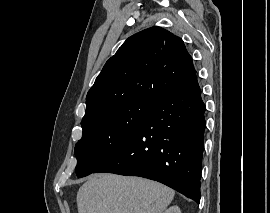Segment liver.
<instances>
[{"mask_svg":"<svg viewBox=\"0 0 270 213\" xmlns=\"http://www.w3.org/2000/svg\"><path fill=\"white\" fill-rule=\"evenodd\" d=\"M175 192L160 183L114 174L92 176L78 190V213H162Z\"/></svg>","mask_w":270,"mask_h":213,"instance_id":"liver-1","label":"liver"}]
</instances>
